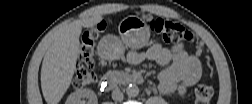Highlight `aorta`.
Segmentation results:
<instances>
[{
    "label": "aorta",
    "mask_w": 252,
    "mask_h": 104,
    "mask_svg": "<svg viewBox=\"0 0 252 104\" xmlns=\"http://www.w3.org/2000/svg\"><path fill=\"white\" fill-rule=\"evenodd\" d=\"M139 87L135 84H131L126 88V94L128 95V97L130 98H135L139 95Z\"/></svg>",
    "instance_id": "aorta-1"
}]
</instances>
